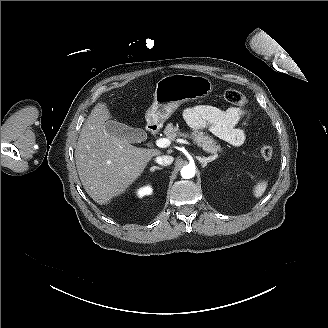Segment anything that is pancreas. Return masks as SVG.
<instances>
[{"label": "pancreas", "mask_w": 328, "mask_h": 328, "mask_svg": "<svg viewBox=\"0 0 328 328\" xmlns=\"http://www.w3.org/2000/svg\"><path fill=\"white\" fill-rule=\"evenodd\" d=\"M164 135L171 140H179L180 138L191 139L205 153L211 154L213 160H217L219 158L218 154H223L224 152V149L217 145L218 142L213 140L207 131L200 132L193 130L191 132H182L173 123H169L164 130Z\"/></svg>", "instance_id": "cf45deb5"}]
</instances>
